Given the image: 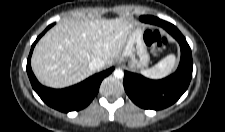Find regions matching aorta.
<instances>
[{"label":"aorta","mask_w":225,"mask_h":132,"mask_svg":"<svg viewBox=\"0 0 225 132\" xmlns=\"http://www.w3.org/2000/svg\"><path fill=\"white\" fill-rule=\"evenodd\" d=\"M114 76L116 78H123V76H124L123 70H121V69L114 70Z\"/></svg>","instance_id":"obj_1"}]
</instances>
